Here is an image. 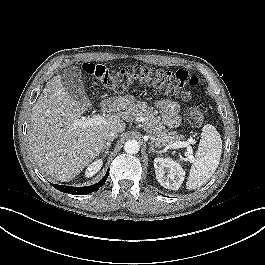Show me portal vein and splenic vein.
I'll list each match as a JSON object with an SVG mask.
<instances>
[{"mask_svg":"<svg viewBox=\"0 0 265 265\" xmlns=\"http://www.w3.org/2000/svg\"><path fill=\"white\" fill-rule=\"evenodd\" d=\"M104 122V117L100 115H94L92 117H87V118H81L79 120L75 121V124L81 127H89L93 125H99ZM170 148L177 149V148H183L186 147L188 153H192V147L190 145V142L186 141H177L173 143L172 145L169 146Z\"/></svg>","mask_w":265,"mask_h":265,"instance_id":"1","label":"portal vein and splenic vein"}]
</instances>
